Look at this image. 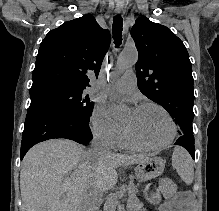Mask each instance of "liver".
Segmentation results:
<instances>
[{"mask_svg": "<svg viewBox=\"0 0 219 211\" xmlns=\"http://www.w3.org/2000/svg\"><path fill=\"white\" fill-rule=\"evenodd\" d=\"M90 151L71 139H47L27 151L20 171L22 211H88L99 209L103 191L116 185V167L140 163L145 153L91 161ZM64 195V197H62Z\"/></svg>", "mask_w": 219, "mask_h": 211, "instance_id": "1", "label": "liver"}]
</instances>
